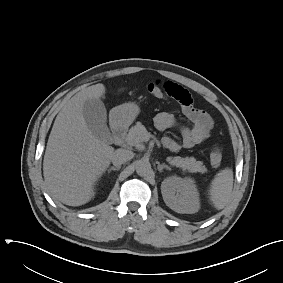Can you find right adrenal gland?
Listing matches in <instances>:
<instances>
[{"label":"right adrenal gland","instance_id":"2a0ac1e0","mask_svg":"<svg viewBox=\"0 0 283 283\" xmlns=\"http://www.w3.org/2000/svg\"><path fill=\"white\" fill-rule=\"evenodd\" d=\"M120 166H116V167H110L107 172L110 173L111 171H119L120 170Z\"/></svg>","mask_w":283,"mask_h":283}]
</instances>
